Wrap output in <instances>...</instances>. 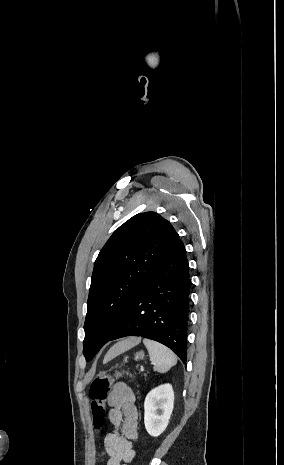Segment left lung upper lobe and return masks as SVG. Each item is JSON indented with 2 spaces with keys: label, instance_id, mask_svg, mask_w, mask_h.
<instances>
[{
  "label": "left lung upper lobe",
  "instance_id": "5c2ea615",
  "mask_svg": "<svg viewBox=\"0 0 284 465\" xmlns=\"http://www.w3.org/2000/svg\"><path fill=\"white\" fill-rule=\"evenodd\" d=\"M178 240L173 226L154 212L133 216L111 235L94 263L84 324L87 361L107 343L134 296Z\"/></svg>",
  "mask_w": 284,
  "mask_h": 465
}]
</instances>
